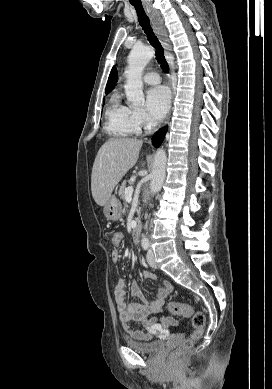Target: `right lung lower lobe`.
Instances as JSON below:
<instances>
[{
	"instance_id": "right-lung-lower-lobe-1",
	"label": "right lung lower lobe",
	"mask_w": 272,
	"mask_h": 389,
	"mask_svg": "<svg viewBox=\"0 0 272 389\" xmlns=\"http://www.w3.org/2000/svg\"><path fill=\"white\" fill-rule=\"evenodd\" d=\"M167 132V127L160 129L152 138V143L155 147H159Z\"/></svg>"
}]
</instances>
